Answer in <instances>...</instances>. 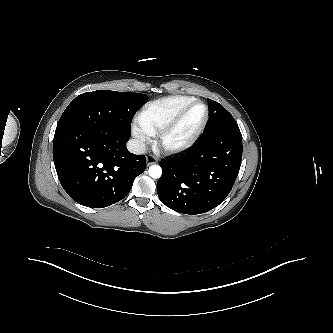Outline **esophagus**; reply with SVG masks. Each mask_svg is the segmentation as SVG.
Returning a JSON list of instances; mask_svg holds the SVG:
<instances>
[{
  "mask_svg": "<svg viewBox=\"0 0 333 333\" xmlns=\"http://www.w3.org/2000/svg\"><path fill=\"white\" fill-rule=\"evenodd\" d=\"M146 160H147V166H151L155 164L157 161L156 158L152 155L147 156Z\"/></svg>",
  "mask_w": 333,
  "mask_h": 333,
  "instance_id": "obj_1",
  "label": "esophagus"
}]
</instances>
